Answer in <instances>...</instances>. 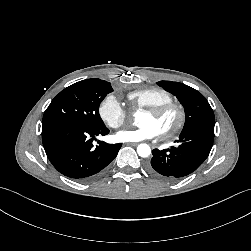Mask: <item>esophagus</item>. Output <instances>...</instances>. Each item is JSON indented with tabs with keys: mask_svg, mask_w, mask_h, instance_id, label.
Segmentation results:
<instances>
[{
	"mask_svg": "<svg viewBox=\"0 0 251 251\" xmlns=\"http://www.w3.org/2000/svg\"><path fill=\"white\" fill-rule=\"evenodd\" d=\"M127 145H130V146H137L138 145V143H136V142H128V143H126Z\"/></svg>",
	"mask_w": 251,
	"mask_h": 251,
	"instance_id": "esophagus-1",
	"label": "esophagus"
}]
</instances>
